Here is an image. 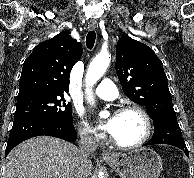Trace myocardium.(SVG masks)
Returning <instances> with one entry per match:
<instances>
[{"label": "myocardium", "instance_id": "f54148a6", "mask_svg": "<svg viewBox=\"0 0 194 178\" xmlns=\"http://www.w3.org/2000/svg\"><path fill=\"white\" fill-rule=\"evenodd\" d=\"M129 111L136 112L142 117L144 124H145V132L140 140H138L135 143H131V144L121 143L118 140H116L113 137V135H111L110 136L111 142L116 147H118L120 149H135V148L141 147L150 139V137L152 135L153 126H152L151 118H150L149 114L142 107H140L138 105H124V106L120 107L116 111V113L120 114V113L129 112Z\"/></svg>", "mask_w": 194, "mask_h": 178}]
</instances>
